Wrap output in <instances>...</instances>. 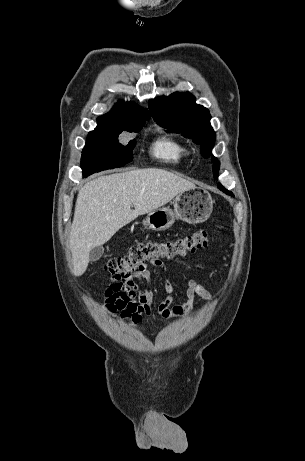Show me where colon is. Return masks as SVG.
Returning <instances> with one entry per match:
<instances>
[{
    "label": "colon",
    "instance_id": "colon-1",
    "mask_svg": "<svg viewBox=\"0 0 305 461\" xmlns=\"http://www.w3.org/2000/svg\"><path fill=\"white\" fill-rule=\"evenodd\" d=\"M212 240L211 233L197 230L177 239L140 242L132 246L126 255L108 260L105 270L113 279L126 280L149 264L156 265L163 260L205 249Z\"/></svg>",
    "mask_w": 305,
    "mask_h": 461
}]
</instances>
